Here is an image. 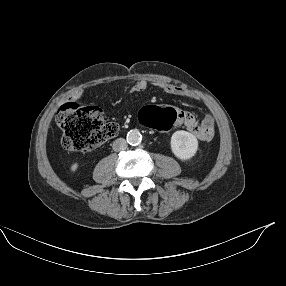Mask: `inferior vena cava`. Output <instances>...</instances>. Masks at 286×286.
<instances>
[{
	"instance_id": "602c4592",
	"label": "inferior vena cava",
	"mask_w": 286,
	"mask_h": 286,
	"mask_svg": "<svg viewBox=\"0 0 286 286\" xmlns=\"http://www.w3.org/2000/svg\"><path fill=\"white\" fill-rule=\"evenodd\" d=\"M127 148V142L124 138H118L113 142V150L116 152L125 150Z\"/></svg>"
}]
</instances>
